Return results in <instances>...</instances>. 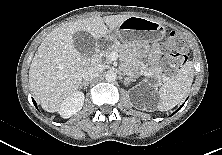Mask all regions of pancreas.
<instances>
[{"instance_id":"1","label":"pancreas","mask_w":222,"mask_h":155,"mask_svg":"<svg viewBox=\"0 0 222 155\" xmlns=\"http://www.w3.org/2000/svg\"><path fill=\"white\" fill-rule=\"evenodd\" d=\"M113 51L118 52L120 56L122 57L127 67V72L129 76H134L140 70L142 71V70L149 69L153 72L156 78L162 79L165 77V74L163 73L161 67L154 66V67L148 68L147 64H145L143 61L136 59L134 49H132L131 47L125 48L119 42L114 43L111 47H109L107 50L101 53V56L106 58L107 63L110 62L108 60V57L110 53Z\"/></svg>"}]
</instances>
